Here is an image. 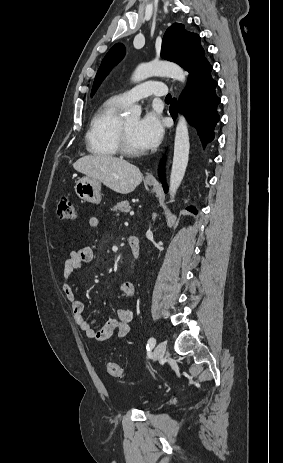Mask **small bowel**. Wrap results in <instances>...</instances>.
<instances>
[{
  "label": "small bowel",
  "mask_w": 283,
  "mask_h": 463,
  "mask_svg": "<svg viewBox=\"0 0 283 463\" xmlns=\"http://www.w3.org/2000/svg\"><path fill=\"white\" fill-rule=\"evenodd\" d=\"M88 224L90 228L97 229L100 225V221L97 217H90ZM93 258V248L91 246H83L70 252L69 257L64 263L62 271L63 291L66 299L71 305L74 321L86 333L87 337L94 341H106L114 335L125 337L130 331V323L133 319V312L131 309L127 307L119 308L115 318L109 319L99 330H96L94 328L95 319H88L85 316L84 302L76 297L71 276L75 270L91 262ZM119 293L122 297L132 298L135 294L133 283H122L119 288Z\"/></svg>",
  "instance_id": "small-bowel-1"
}]
</instances>
